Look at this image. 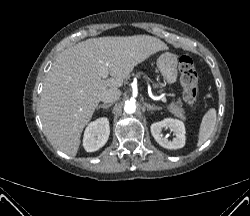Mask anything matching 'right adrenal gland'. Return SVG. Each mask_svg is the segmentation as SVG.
Masks as SVG:
<instances>
[{
	"label": "right adrenal gland",
	"instance_id": "1",
	"mask_svg": "<svg viewBox=\"0 0 250 216\" xmlns=\"http://www.w3.org/2000/svg\"><path fill=\"white\" fill-rule=\"evenodd\" d=\"M111 106H112V104H102V105H100V106L97 107V110L100 109V108L107 109V108H109Z\"/></svg>",
	"mask_w": 250,
	"mask_h": 216
}]
</instances>
